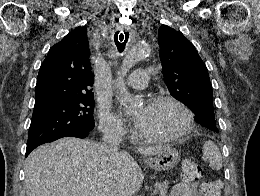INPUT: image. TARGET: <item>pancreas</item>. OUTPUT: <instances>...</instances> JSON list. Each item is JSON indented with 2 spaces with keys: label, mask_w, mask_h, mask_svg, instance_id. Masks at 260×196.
<instances>
[{
  "label": "pancreas",
  "mask_w": 260,
  "mask_h": 196,
  "mask_svg": "<svg viewBox=\"0 0 260 196\" xmlns=\"http://www.w3.org/2000/svg\"><path fill=\"white\" fill-rule=\"evenodd\" d=\"M156 190H158L159 196H166L167 190H169V182H159L156 186Z\"/></svg>",
  "instance_id": "1"
}]
</instances>
